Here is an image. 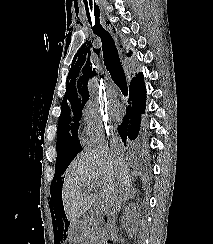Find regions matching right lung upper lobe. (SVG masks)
Here are the masks:
<instances>
[{
    "instance_id": "1",
    "label": "right lung upper lobe",
    "mask_w": 213,
    "mask_h": 244,
    "mask_svg": "<svg viewBox=\"0 0 213 244\" xmlns=\"http://www.w3.org/2000/svg\"><path fill=\"white\" fill-rule=\"evenodd\" d=\"M127 56H131V52ZM92 75L93 69L89 59L86 61L85 57L78 60L74 67H71L68 75L70 79L69 90L66 91L63 98L61 112L85 105L89 99L87 83Z\"/></svg>"
}]
</instances>
